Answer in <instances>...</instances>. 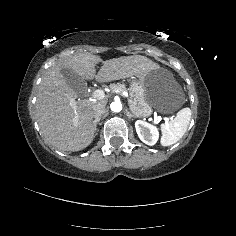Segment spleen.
<instances>
[{
  "label": "spleen",
  "instance_id": "obj_1",
  "mask_svg": "<svg viewBox=\"0 0 236 236\" xmlns=\"http://www.w3.org/2000/svg\"><path fill=\"white\" fill-rule=\"evenodd\" d=\"M191 120V109L184 108L177 113L174 120L165 124L162 132L161 143L169 146L178 142L185 134Z\"/></svg>",
  "mask_w": 236,
  "mask_h": 236
}]
</instances>
